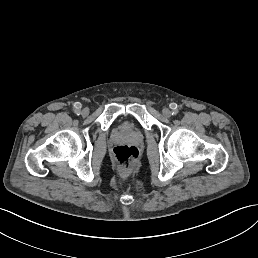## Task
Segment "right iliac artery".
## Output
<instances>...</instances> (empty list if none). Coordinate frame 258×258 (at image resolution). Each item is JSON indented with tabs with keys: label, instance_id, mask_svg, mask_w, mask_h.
I'll use <instances>...</instances> for the list:
<instances>
[{
	"label": "right iliac artery",
	"instance_id": "1",
	"mask_svg": "<svg viewBox=\"0 0 258 258\" xmlns=\"http://www.w3.org/2000/svg\"><path fill=\"white\" fill-rule=\"evenodd\" d=\"M74 112H75L76 115H80L81 114L80 110H75Z\"/></svg>",
	"mask_w": 258,
	"mask_h": 258
}]
</instances>
